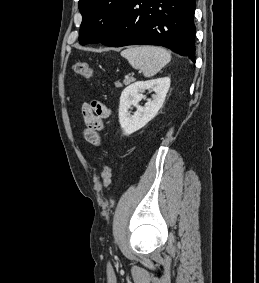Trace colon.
Here are the masks:
<instances>
[{"mask_svg": "<svg viewBox=\"0 0 259 283\" xmlns=\"http://www.w3.org/2000/svg\"><path fill=\"white\" fill-rule=\"evenodd\" d=\"M72 71L74 74L93 79L95 77V72L93 68L86 62H75L72 65ZM112 181V168L108 163L104 164L102 172V182L105 189H108Z\"/></svg>", "mask_w": 259, "mask_h": 283, "instance_id": "obj_1", "label": "colon"}]
</instances>
